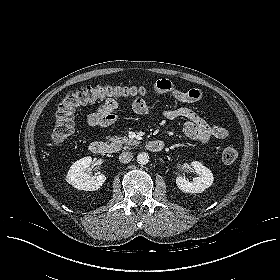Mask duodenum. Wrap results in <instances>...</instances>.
<instances>
[{"mask_svg": "<svg viewBox=\"0 0 280 280\" xmlns=\"http://www.w3.org/2000/svg\"><path fill=\"white\" fill-rule=\"evenodd\" d=\"M146 148L151 153H160L164 148V144L161 140L153 139L146 143ZM90 151L102 156L110 154L112 149L106 142L95 140L90 144Z\"/></svg>", "mask_w": 280, "mask_h": 280, "instance_id": "duodenum-1", "label": "duodenum"}]
</instances>
